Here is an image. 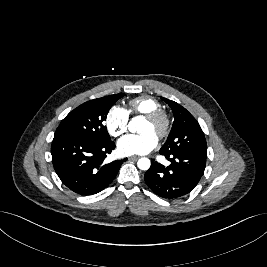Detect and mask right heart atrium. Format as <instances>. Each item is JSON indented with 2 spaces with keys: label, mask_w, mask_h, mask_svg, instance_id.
Masks as SVG:
<instances>
[{
  "label": "right heart atrium",
  "mask_w": 267,
  "mask_h": 267,
  "mask_svg": "<svg viewBox=\"0 0 267 267\" xmlns=\"http://www.w3.org/2000/svg\"><path fill=\"white\" fill-rule=\"evenodd\" d=\"M105 125L110 133L114 137L123 135L129 125V113L121 106H112L106 114Z\"/></svg>",
  "instance_id": "obj_1"
}]
</instances>
